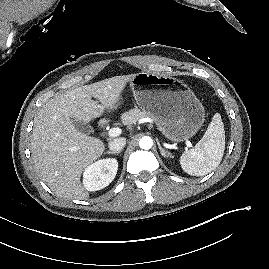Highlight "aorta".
Returning <instances> with one entry per match:
<instances>
[{"label":"aorta","mask_w":269,"mask_h":269,"mask_svg":"<svg viewBox=\"0 0 269 269\" xmlns=\"http://www.w3.org/2000/svg\"><path fill=\"white\" fill-rule=\"evenodd\" d=\"M139 146L144 150H149L153 146V140L149 136H144L139 140Z\"/></svg>","instance_id":"obj_1"}]
</instances>
